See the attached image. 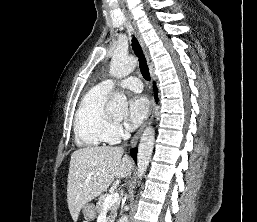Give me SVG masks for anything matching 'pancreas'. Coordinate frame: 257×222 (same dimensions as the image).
Here are the masks:
<instances>
[{
    "label": "pancreas",
    "instance_id": "pancreas-1",
    "mask_svg": "<svg viewBox=\"0 0 257 222\" xmlns=\"http://www.w3.org/2000/svg\"><path fill=\"white\" fill-rule=\"evenodd\" d=\"M108 196L107 193L102 194L99 198H98V202H97V206H96V211L97 213H102L103 212V203L105 201V198ZM119 207V203H115L111 206L108 207V210L110 211V215L107 217V222H114L115 218L117 216V209Z\"/></svg>",
    "mask_w": 257,
    "mask_h": 222
}]
</instances>
